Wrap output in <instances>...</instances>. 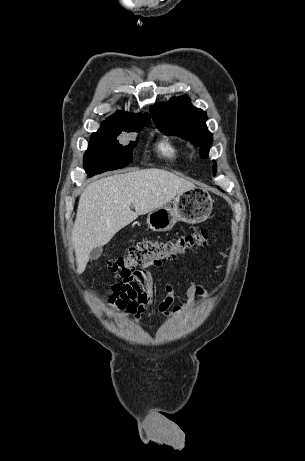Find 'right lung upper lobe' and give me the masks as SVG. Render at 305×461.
<instances>
[{"mask_svg":"<svg viewBox=\"0 0 305 461\" xmlns=\"http://www.w3.org/2000/svg\"><path fill=\"white\" fill-rule=\"evenodd\" d=\"M149 119H150V116L148 113L131 114V113L124 112V111H118L114 115L110 116L104 123L120 124L124 126H129L134 123L147 121Z\"/></svg>","mask_w":305,"mask_h":461,"instance_id":"obj_1","label":"right lung upper lobe"}]
</instances>
